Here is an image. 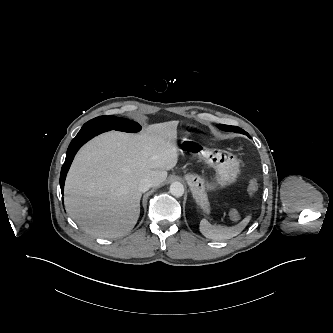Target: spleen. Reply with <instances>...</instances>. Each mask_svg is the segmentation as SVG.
<instances>
[{
    "instance_id": "3e777b00",
    "label": "spleen",
    "mask_w": 333,
    "mask_h": 333,
    "mask_svg": "<svg viewBox=\"0 0 333 333\" xmlns=\"http://www.w3.org/2000/svg\"><path fill=\"white\" fill-rule=\"evenodd\" d=\"M236 215V211L233 212ZM251 216H246L240 223L232 227L214 226L211 225L206 219L200 222V232L207 238L213 240H226L233 238L240 234L243 229L247 226Z\"/></svg>"
}]
</instances>
